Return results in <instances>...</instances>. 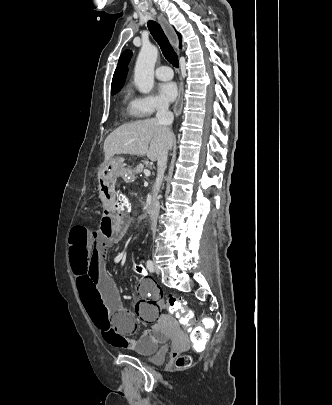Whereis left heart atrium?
I'll return each mask as SVG.
<instances>
[{"mask_svg": "<svg viewBox=\"0 0 332 405\" xmlns=\"http://www.w3.org/2000/svg\"><path fill=\"white\" fill-rule=\"evenodd\" d=\"M159 93L162 98L168 102H172L178 95V88L174 82H165L160 84Z\"/></svg>", "mask_w": 332, "mask_h": 405, "instance_id": "39dd6f15", "label": "left heart atrium"}]
</instances>
